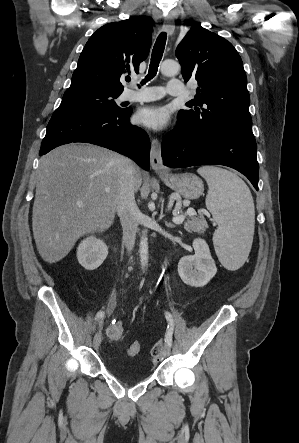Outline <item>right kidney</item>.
<instances>
[{"mask_svg":"<svg viewBox=\"0 0 299 443\" xmlns=\"http://www.w3.org/2000/svg\"><path fill=\"white\" fill-rule=\"evenodd\" d=\"M107 255V245L95 236L85 238L77 248L78 262L86 270L97 269L104 262Z\"/></svg>","mask_w":299,"mask_h":443,"instance_id":"obj_1","label":"right kidney"}]
</instances>
